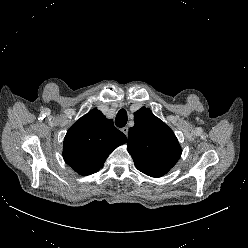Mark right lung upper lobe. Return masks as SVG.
<instances>
[{
    "mask_svg": "<svg viewBox=\"0 0 248 248\" xmlns=\"http://www.w3.org/2000/svg\"><path fill=\"white\" fill-rule=\"evenodd\" d=\"M126 136L101 111L93 109L76 121L64 138L63 158L80 175L103 167L105 159Z\"/></svg>",
    "mask_w": 248,
    "mask_h": 248,
    "instance_id": "1",
    "label": "right lung upper lobe"
}]
</instances>
